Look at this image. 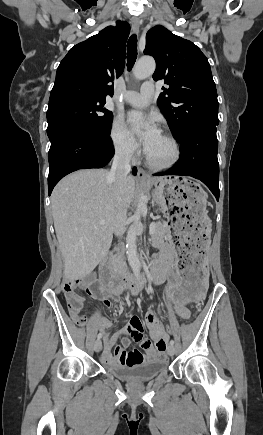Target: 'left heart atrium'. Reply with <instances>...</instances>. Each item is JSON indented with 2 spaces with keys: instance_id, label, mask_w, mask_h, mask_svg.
<instances>
[{
  "instance_id": "obj_1",
  "label": "left heart atrium",
  "mask_w": 263,
  "mask_h": 435,
  "mask_svg": "<svg viewBox=\"0 0 263 435\" xmlns=\"http://www.w3.org/2000/svg\"><path fill=\"white\" fill-rule=\"evenodd\" d=\"M128 123L148 153L161 135L155 121L139 112H132L128 116Z\"/></svg>"
}]
</instances>
